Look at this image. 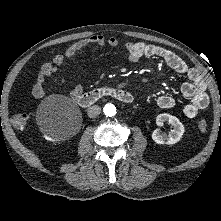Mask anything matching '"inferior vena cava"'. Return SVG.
Masks as SVG:
<instances>
[{
    "label": "inferior vena cava",
    "mask_w": 221,
    "mask_h": 221,
    "mask_svg": "<svg viewBox=\"0 0 221 221\" xmlns=\"http://www.w3.org/2000/svg\"><path fill=\"white\" fill-rule=\"evenodd\" d=\"M100 113H101V107L98 105H93V106L89 107L87 110V115L90 118H94V117L98 116Z\"/></svg>",
    "instance_id": "inferior-vena-cava-1"
}]
</instances>
